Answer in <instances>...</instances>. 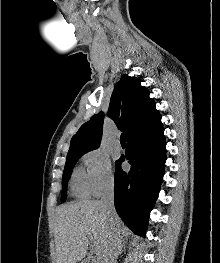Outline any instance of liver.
<instances>
[{"instance_id":"obj_1","label":"liver","mask_w":220,"mask_h":263,"mask_svg":"<svg viewBox=\"0 0 220 263\" xmlns=\"http://www.w3.org/2000/svg\"><path fill=\"white\" fill-rule=\"evenodd\" d=\"M115 224L121 232L125 230L119 217ZM110 233V222L100 201L81 200L60 206L54 224L56 263L82 261L88 251L89 239L96 243L99 263H104Z\"/></svg>"}]
</instances>
